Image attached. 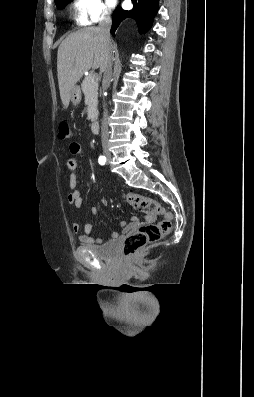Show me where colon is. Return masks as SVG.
Wrapping results in <instances>:
<instances>
[{
  "mask_svg": "<svg viewBox=\"0 0 254 397\" xmlns=\"http://www.w3.org/2000/svg\"><path fill=\"white\" fill-rule=\"evenodd\" d=\"M59 137L60 139H69L71 137L70 127L65 121L59 124ZM126 200L131 206L146 213L163 216V219L158 223L141 225L136 231L126 237L123 244V254L126 257H131L140 249L159 241L162 237L169 234L172 228L173 216L160 202L148 196L130 192L126 194Z\"/></svg>",
  "mask_w": 254,
  "mask_h": 397,
  "instance_id": "1",
  "label": "colon"
}]
</instances>
